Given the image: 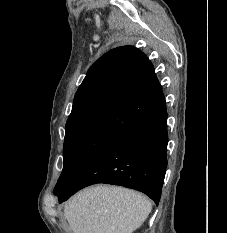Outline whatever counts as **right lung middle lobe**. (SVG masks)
<instances>
[{"mask_svg": "<svg viewBox=\"0 0 227 233\" xmlns=\"http://www.w3.org/2000/svg\"><path fill=\"white\" fill-rule=\"evenodd\" d=\"M117 133L80 130L65 135L64 166L54 193L68 188Z\"/></svg>", "mask_w": 227, "mask_h": 233, "instance_id": "obj_1", "label": "right lung middle lobe"}]
</instances>
